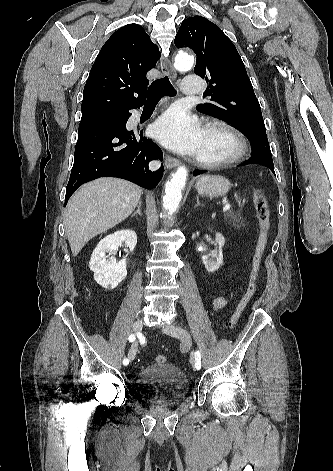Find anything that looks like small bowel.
I'll return each mask as SVG.
<instances>
[{"label": "small bowel", "mask_w": 333, "mask_h": 471, "mask_svg": "<svg viewBox=\"0 0 333 471\" xmlns=\"http://www.w3.org/2000/svg\"><path fill=\"white\" fill-rule=\"evenodd\" d=\"M229 300L227 297L218 296L213 299L212 305L215 310H220L228 304Z\"/></svg>", "instance_id": "1"}]
</instances>
